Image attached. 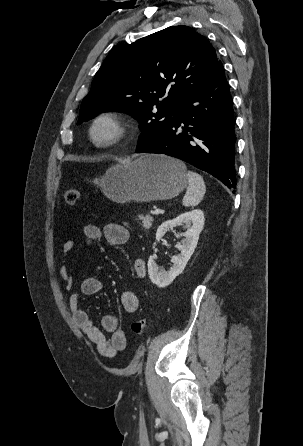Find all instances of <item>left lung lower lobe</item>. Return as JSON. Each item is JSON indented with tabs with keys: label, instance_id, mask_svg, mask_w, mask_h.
Masks as SVG:
<instances>
[{
	"label": "left lung lower lobe",
	"instance_id": "left-lung-lower-lobe-1",
	"mask_svg": "<svg viewBox=\"0 0 303 446\" xmlns=\"http://www.w3.org/2000/svg\"><path fill=\"white\" fill-rule=\"evenodd\" d=\"M234 125L227 80L218 60L175 106L172 120L161 134L136 153L181 159L233 189L236 187Z\"/></svg>",
	"mask_w": 303,
	"mask_h": 446
}]
</instances>
